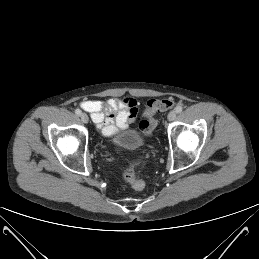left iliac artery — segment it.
<instances>
[{"instance_id": "44dca946", "label": "left iliac artery", "mask_w": 259, "mask_h": 259, "mask_svg": "<svg viewBox=\"0 0 259 259\" xmlns=\"http://www.w3.org/2000/svg\"><path fill=\"white\" fill-rule=\"evenodd\" d=\"M176 112L177 113H181L182 110H183V107L181 105H178L176 108H175Z\"/></svg>"}]
</instances>
